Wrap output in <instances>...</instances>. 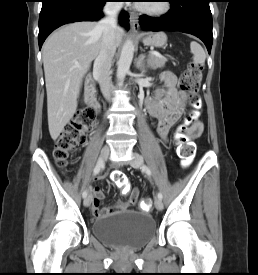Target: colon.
I'll return each instance as SVG.
<instances>
[{
  "label": "colon",
  "mask_w": 258,
  "mask_h": 275,
  "mask_svg": "<svg viewBox=\"0 0 258 275\" xmlns=\"http://www.w3.org/2000/svg\"><path fill=\"white\" fill-rule=\"evenodd\" d=\"M202 76V70L199 65L191 64L183 72L180 78V90L186 95L191 110L187 113L185 123L182 129L187 128L190 124H194L199 117L198 110L201 107V101L198 95L199 84ZM94 122V113L89 109L78 111L69 124L59 133L54 147V157L57 164L65 167L68 158L74 148L81 144L87 132L92 129ZM194 144L184 136L179 142V157L184 164L191 161L194 155ZM112 181L115 186L123 193L130 192L128 178L124 172L115 171L112 174ZM151 200L149 198L141 199L139 207L143 211L149 210Z\"/></svg>",
  "instance_id": "obj_1"
}]
</instances>
